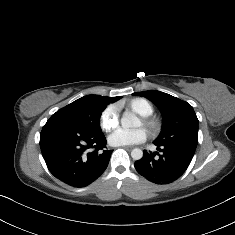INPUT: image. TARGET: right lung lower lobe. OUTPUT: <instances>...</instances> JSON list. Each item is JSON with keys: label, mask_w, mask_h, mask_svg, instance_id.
<instances>
[{"label": "right lung lower lobe", "mask_w": 235, "mask_h": 235, "mask_svg": "<svg viewBox=\"0 0 235 235\" xmlns=\"http://www.w3.org/2000/svg\"><path fill=\"white\" fill-rule=\"evenodd\" d=\"M103 133L49 119L40 134V147L49 171L73 187H85L107 168L112 151L103 150Z\"/></svg>", "instance_id": "1"}]
</instances>
